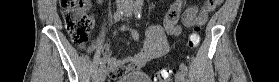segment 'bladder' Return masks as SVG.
I'll return each instance as SVG.
<instances>
[{"mask_svg": "<svg viewBox=\"0 0 279 82\" xmlns=\"http://www.w3.org/2000/svg\"><path fill=\"white\" fill-rule=\"evenodd\" d=\"M115 82H153L150 77L143 72H130L115 80Z\"/></svg>", "mask_w": 279, "mask_h": 82, "instance_id": "obj_1", "label": "bladder"}]
</instances>
